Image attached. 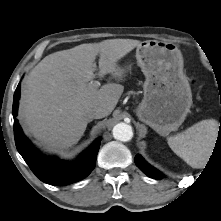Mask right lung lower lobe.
Here are the masks:
<instances>
[{"label":"right lung lower lobe","mask_w":221,"mask_h":221,"mask_svg":"<svg viewBox=\"0 0 221 221\" xmlns=\"http://www.w3.org/2000/svg\"><path fill=\"white\" fill-rule=\"evenodd\" d=\"M20 85L13 97L12 114L17 115ZM14 137L18 152L32 172L43 182L64 186L82 180L94 169L101 138L96 139L75 162H66L42 155L24 136L17 119L14 120Z\"/></svg>","instance_id":"1"}]
</instances>
